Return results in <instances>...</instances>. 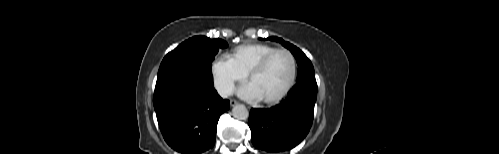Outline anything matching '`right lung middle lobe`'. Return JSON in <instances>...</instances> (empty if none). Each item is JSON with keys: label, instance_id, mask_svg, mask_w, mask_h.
<instances>
[{"label": "right lung middle lobe", "instance_id": "dd1d6c3e", "mask_svg": "<svg viewBox=\"0 0 499 154\" xmlns=\"http://www.w3.org/2000/svg\"><path fill=\"white\" fill-rule=\"evenodd\" d=\"M227 46L222 39H209L205 36L186 40L164 57L156 84L184 75H203L213 80L211 62L219 49Z\"/></svg>", "mask_w": 499, "mask_h": 154}]
</instances>
